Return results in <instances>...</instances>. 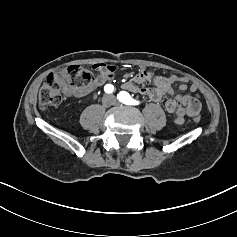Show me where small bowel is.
Masks as SVG:
<instances>
[{"mask_svg":"<svg viewBox=\"0 0 237 237\" xmlns=\"http://www.w3.org/2000/svg\"><path fill=\"white\" fill-rule=\"evenodd\" d=\"M94 68L97 71L94 82L85 89H73L65 86L63 92L67 97L81 98L93 92L96 88L104 85L112 80L116 74L114 66L106 64H96ZM180 83L179 90L191 92L197 90L195 84H189L184 77L172 76H158L152 72L141 69L135 76L124 82L123 88L143 95L153 102H160L166 96L165 110L174 115V122L177 125H182L188 117H193L200 112L201 102L199 96L188 95L183 93H176L174 85Z\"/></svg>","mask_w":237,"mask_h":237,"instance_id":"obj_1","label":"small bowel"}]
</instances>
